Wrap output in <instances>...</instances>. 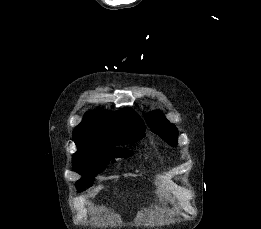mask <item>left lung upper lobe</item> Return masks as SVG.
I'll use <instances>...</instances> for the list:
<instances>
[{
  "label": "left lung upper lobe",
  "mask_w": 261,
  "mask_h": 229,
  "mask_svg": "<svg viewBox=\"0 0 261 229\" xmlns=\"http://www.w3.org/2000/svg\"><path fill=\"white\" fill-rule=\"evenodd\" d=\"M150 128L159 134L169 145L177 146L178 130L171 124L161 111H153L146 116Z\"/></svg>",
  "instance_id": "1"
}]
</instances>
